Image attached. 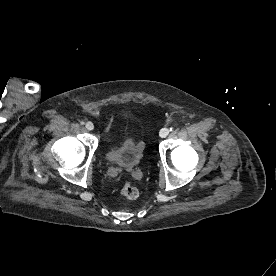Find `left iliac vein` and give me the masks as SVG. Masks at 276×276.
<instances>
[{
	"instance_id": "4c4485c4",
	"label": "left iliac vein",
	"mask_w": 276,
	"mask_h": 276,
	"mask_svg": "<svg viewBox=\"0 0 276 276\" xmlns=\"http://www.w3.org/2000/svg\"><path fill=\"white\" fill-rule=\"evenodd\" d=\"M169 129L168 128H162L159 132V135L161 138H165L169 134Z\"/></svg>"
}]
</instances>
